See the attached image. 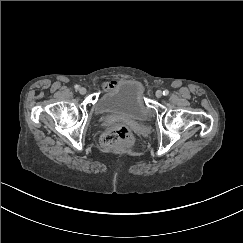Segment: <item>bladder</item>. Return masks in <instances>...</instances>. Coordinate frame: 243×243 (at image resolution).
I'll return each mask as SVG.
<instances>
[{
    "label": "bladder",
    "mask_w": 243,
    "mask_h": 243,
    "mask_svg": "<svg viewBox=\"0 0 243 243\" xmlns=\"http://www.w3.org/2000/svg\"><path fill=\"white\" fill-rule=\"evenodd\" d=\"M95 111L103 116H115L144 122L150 117L144 102V87L138 80L127 79L104 92L95 103Z\"/></svg>",
    "instance_id": "obj_1"
}]
</instances>
